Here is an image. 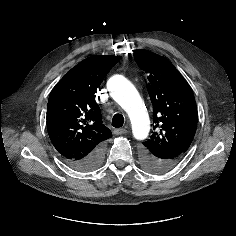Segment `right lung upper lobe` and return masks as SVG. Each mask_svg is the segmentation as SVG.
Returning a JSON list of instances; mask_svg holds the SVG:
<instances>
[{"label": "right lung upper lobe", "mask_w": 236, "mask_h": 236, "mask_svg": "<svg viewBox=\"0 0 236 236\" xmlns=\"http://www.w3.org/2000/svg\"><path fill=\"white\" fill-rule=\"evenodd\" d=\"M118 61L116 56L88 57L52 89L47 105V130L63 158L82 159L112 137L102 123L95 93Z\"/></svg>", "instance_id": "cb5924a9"}]
</instances>
